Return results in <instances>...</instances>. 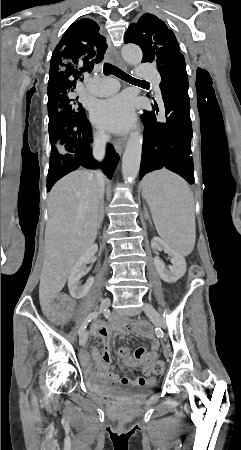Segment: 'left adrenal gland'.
<instances>
[{
	"label": "left adrenal gland",
	"mask_w": 241,
	"mask_h": 450,
	"mask_svg": "<svg viewBox=\"0 0 241 450\" xmlns=\"http://www.w3.org/2000/svg\"><path fill=\"white\" fill-rule=\"evenodd\" d=\"M144 210H145V214H147L146 208H144ZM146 218H148V220H149V216H146ZM149 222H150V224H152L151 220H149Z\"/></svg>",
	"instance_id": "a2214340"
}]
</instances>
